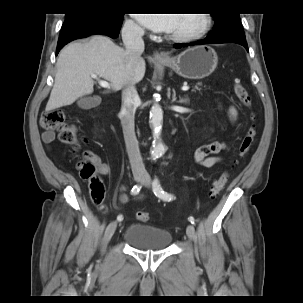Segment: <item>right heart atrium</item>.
<instances>
[{
    "instance_id": "obj_1",
    "label": "right heart atrium",
    "mask_w": 303,
    "mask_h": 303,
    "mask_svg": "<svg viewBox=\"0 0 303 303\" xmlns=\"http://www.w3.org/2000/svg\"><path fill=\"white\" fill-rule=\"evenodd\" d=\"M123 29L128 35L132 36H141L144 33L143 28L130 19L124 23Z\"/></svg>"
}]
</instances>
